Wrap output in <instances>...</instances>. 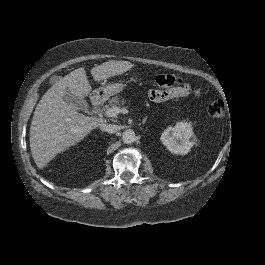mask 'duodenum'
I'll use <instances>...</instances> for the list:
<instances>
[{
  "instance_id": "obj_1",
  "label": "duodenum",
  "mask_w": 265,
  "mask_h": 265,
  "mask_svg": "<svg viewBox=\"0 0 265 265\" xmlns=\"http://www.w3.org/2000/svg\"><path fill=\"white\" fill-rule=\"evenodd\" d=\"M101 101V97L98 94H94L91 96V103L93 106H98Z\"/></svg>"
}]
</instances>
